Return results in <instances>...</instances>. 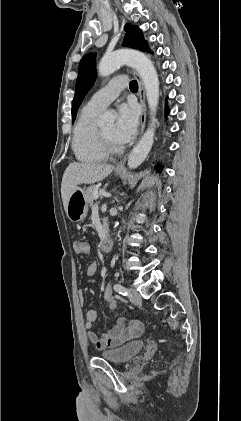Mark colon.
I'll return each mask as SVG.
<instances>
[{
  "instance_id": "1",
  "label": "colon",
  "mask_w": 241,
  "mask_h": 421,
  "mask_svg": "<svg viewBox=\"0 0 241 421\" xmlns=\"http://www.w3.org/2000/svg\"><path fill=\"white\" fill-rule=\"evenodd\" d=\"M75 250L78 254L86 255L90 252V245L86 241H78L75 245ZM103 297L111 310L116 309V297L110 284L104 287Z\"/></svg>"
}]
</instances>
